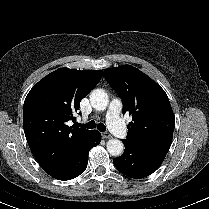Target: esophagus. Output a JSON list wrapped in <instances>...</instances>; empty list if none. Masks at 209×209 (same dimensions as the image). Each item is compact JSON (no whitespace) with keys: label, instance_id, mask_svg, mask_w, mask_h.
Returning a JSON list of instances; mask_svg holds the SVG:
<instances>
[{"label":"esophagus","instance_id":"34e87169","mask_svg":"<svg viewBox=\"0 0 209 209\" xmlns=\"http://www.w3.org/2000/svg\"><path fill=\"white\" fill-rule=\"evenodd\" d=\"M102 138H104V139H110V138H112V136H111V134L108 133V132H103V133H102Z\"/></svg>","mask_w":209,"mask_h":209}]
</instances>
